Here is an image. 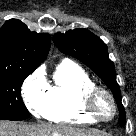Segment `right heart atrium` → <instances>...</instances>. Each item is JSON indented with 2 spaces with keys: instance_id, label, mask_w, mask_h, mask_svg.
<instances>
[{
  "instance_id": "right-heart-atrium-1",
  "label": "right heart atrium",
  "mask_w": 136,
  "mask_h": 136,
  "mask_svg": "<svg viewBox=\"0 0 136 136\" xmlns=\"http://www.w3.org/2000/svg\"><path fill=\"white\" fill-rule=\"evenodd\" d=\"M23 101L27 109L36 117H43L48 106V84L43 73L37 71L30 75L21 88Z\"/></svg>"
}]
</instances>
